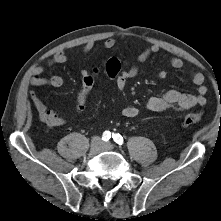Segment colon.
Instances as JSON below:
<instances>
[{"mask_svg":"<svg viewBox=\"0 0 221 221\" xmlns=\"http://www.w3.org/2000/svg\"><path fill=\"white\" fill-rule=\"evenodd\" d=\"M99 69L94 68L92 73H89L87 76L83 78L82 87L78 93V109H83L85 103L87 101L89 92L94 85L95 77L98 74ZM104 73L107 79L114 80L116 79L121 73V66L120 63L111 58L106 61L104 64ZM205 112L203 110L195 112V113H186L183 116V124L184 125H194L202 121L204 118Z\"/></svg>","mask_w":221,"mask_h":221,"instance_id":"obj_1","label":"colon"}]
</instances>
